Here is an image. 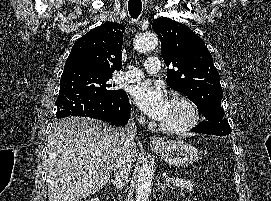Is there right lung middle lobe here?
Returning a JSON list of instances; mask_svg holds the SVG:
<instances>
[{"mask_svg": "<svg viewBox=\"0 0 271 201\" xmlns=\"http://www.w3.org/2000/svg\"><path fill=\"white\" fill-rule=\"evenodd\" d=\"M111 74L90 72L82 69L63 71L60 80V94L98 93L100 95H115L122 90L115 89L110 83Z\"/></svg>", "mask_w": 271, "mask_h": 201, "instance_id": "right-lung-middle-lobe-1", "label": "right lung middle lobe"}]
</instances>
